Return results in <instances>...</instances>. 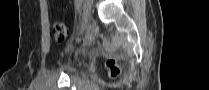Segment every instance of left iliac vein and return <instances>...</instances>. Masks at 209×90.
Listing matches in <instances>:
<instances>
[{"instance_id":"1","label":"left iliac vein","mask_w":209,"mask_h":90,"mask_svg":"<svg viewBox=\"0 0 209 90\" xmlns=\"http://www.w3.org/2000/svg\"><path fill=\"white\" fill-rule=\"evenodd\" d=\"M91 8H92V2L90 0H86L83 4V7H82V18L85 22H87L90 17H91ZM80 33L81 32H86V27H85V24H80ZM77 33L78 35L80 33Z\"/></svg>"}]
</instances>
